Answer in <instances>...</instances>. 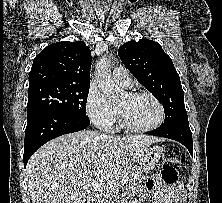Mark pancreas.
Wrapping results in <instances>:
<instances>
[{
  "instance_id": "obj_1",
  "label": "pancreas",
  "mask_w": 222,
  "mask_h": 203,
  "mask_svg": "<svg viewBox=\"0 0 222 203\" xmlns=\"http://www.w3.org/2000/svg\"><path fill=\"white\" fill-rule=\"evenodd\" d=\"M145 177L139 174L136 170L131 169L125 171L119 178V181L124 182V184L135 185L137 182H141ZM117 199L116 192H104L99 196L100 203H114Z\"/></svg>"
}]
</instances>
